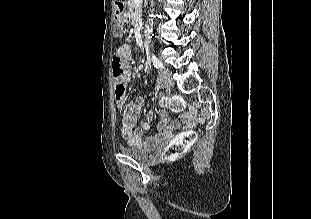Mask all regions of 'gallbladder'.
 I'll return each mask as SVG.
<instances>
[{"mask_svg":"<svg viewBox=\"0 0 311 219\" xmlns=\"http://www.w3.org/2000/svg\"><path fill=\"white\" fill-rule=\"evenodd\" d=\"M122 30H123V25L118 23L117 25L113 27V35L115 37H118L119 35H121Z\"/></svg>","mask_w":311,"mask_h":219,"instance_id":"gallbladder-1","label":"gallbladder"}]
</instances>
